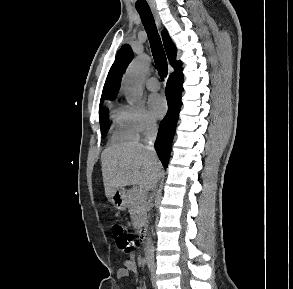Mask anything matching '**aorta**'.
Returning <instances> with one entry per match:
<instances>
[{"label": "aorta", "instance_id": "obj_1", "mask_svg": "<svg viewBox=\"0 0 293 289\" xmlns=\"http://www.w3.org/2000/svg\"><path fill=\"white\" fill-rule=\"evenodd\" d=\"M148 68L149 59L145 56L138 58L127 68L122 79V86L128 95L129 103H137L141 99L143 77ZM146 252L148 255H153L154 246L151 238L147 239Z\"/></svg>", "mask_w": 293, "mask_h": 289}]
</instances>
